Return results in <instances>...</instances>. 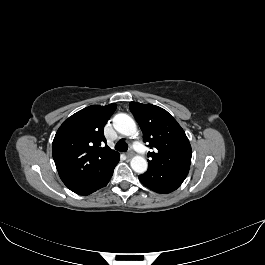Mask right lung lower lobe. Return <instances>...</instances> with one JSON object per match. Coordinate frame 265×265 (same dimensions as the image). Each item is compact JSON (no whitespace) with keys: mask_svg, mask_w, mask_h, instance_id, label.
<instances>
[{"mask_svg":"<svg viewBox=\"0 0 265 265\" xmlns=\"http://www.w3.org/2000/svg\"><path fill=\"white\" fill-rule=\"evenodd\" d=\"M119 159L113 161L108 168L101 171L97 176L90 179L89 181L77 186L71 191L79 194V195H89L96 190L106 186L113 175V171Z\"/></svg>","mask_w":265,"mask_h":265,"instance_id":"right-lung-lower-lobe-1","label":"right lung lower lobe"}]
</instances>
